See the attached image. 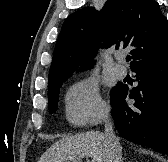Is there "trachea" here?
Masks as SVG:
<instances>
[{
  "label": "trachea",
  "instance_id": "3493384b",
  "mask_svg": "<svg viewBox=\"0 0 168 162\" xmlns=\"http://www.w3.org/2000/svg\"><path fill=\"white\" fill-rule=\"evenodd\" d=\"M131 60V56L126 57V61L129 62Z\"/></svg>",
  "mask_w": 168,
  "mask_h": 162
}]
</instances>
